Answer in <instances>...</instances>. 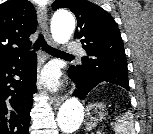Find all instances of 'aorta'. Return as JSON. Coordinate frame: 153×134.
Instances as JSON below:
<instances>
[{"label":"aorta","instance_id":"aorta-1","mask_svg":"<svg viewBox=\"0 0 153 134\" xmlns=\"http://www.w3.org/2000/svg\"><path fill=\"white\" fill-rule=\"evenodd\" d=\"M75 29V20L73 16L66 12H58L54 15L51 23L53 39L60 43H66L72 36ZM84 117V108L77 98L67 99L59 108L57 114L58 126L63 134H72L75 132Z\"/></svg>","mask_w":153,"mask_h":134}]
</instances>
